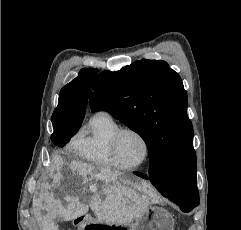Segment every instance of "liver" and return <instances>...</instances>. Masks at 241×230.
<instances>
[{"mask_svg": "<svg viewBox=\"0 0 241 230\" xmlns=\"http://www.w3.org/2000/svg\"><path fill=\"white\" fill-rule=\"evenodd\" d=\"M63 164L60 157H55L52 168L57 173L52 174V186L58 185L67 191L75 179L82 177V194L90 192L93 195L89 205L79 197H68L67 204L63 205L48 191V187L42 189L33 198L35 217L39 219L41 211L47 212L41 225L42 230H58V225L53 221L55 217L70 221L85 215L89 207L101 221L128 225L138 220L152 203V193L145 184H131L129 181L117 183V176L121 174L119 171L72 161L62 174L60 170Z\"/></svg>", "mask_w": 241, "mask_h": 230, "instance_id": "6515ba94", "label": "liver"}]
</instances>
